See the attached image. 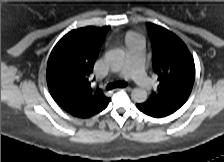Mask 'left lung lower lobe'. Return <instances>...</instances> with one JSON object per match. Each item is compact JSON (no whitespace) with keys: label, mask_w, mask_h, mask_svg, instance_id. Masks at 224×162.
<instances>
[{"label":"left lung lower lobe","mask_w":224,"mask_h":162,"mask_svg":"<svg viewBox=\"0 0 224 162\" xmlns=\"http://www.w3.org/2000/svg\"><path fill=\"white\" fill-rule=\"evenodd\" d=\"M137 108L142 111L143 113L152 116V117H164L167 115H170L174 113L176 110L173 109H167V108H153V107H147L143 104H137Z\"/></svg>","instance_id":"1"}]
</instances>
